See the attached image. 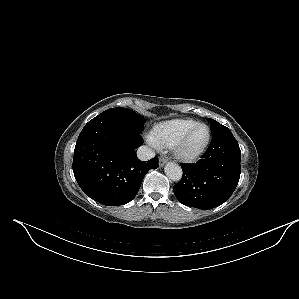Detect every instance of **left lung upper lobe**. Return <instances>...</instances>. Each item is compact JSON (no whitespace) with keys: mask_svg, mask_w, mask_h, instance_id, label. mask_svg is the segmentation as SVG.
Wrapping results in <instances>:
<instances>
[{"mask_svg":"<svg viewBox=\"0 0 299 299\" xmlns=\"http://www.w3.org/2000/svg\"><path fill=\"white\" fill-rule=\"evenodd\" d=\"M211 123V131L212 134L221 130L222 128H224L225 126L221 125L220 123H218L217 121L213 120V119H208Z\"/></svg>","mask_w":299,"mask_h":299,"instance_id":"obj_1","label":"left lung upper lobe"}]
</instances>
